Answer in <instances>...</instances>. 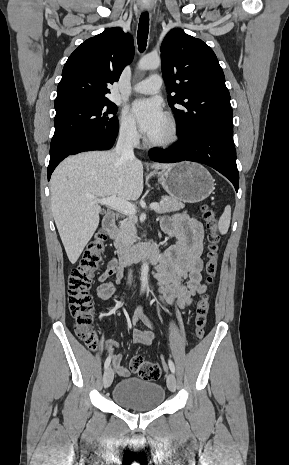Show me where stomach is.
<instances>
[{
    "instance_id": "1",
    "label": "stomach",
    "mask_w": 289,
    "mask_h": 465,
    "mask_svg": "<svg viewBox=\"0 0 289 465\" xmlns=\"http://www.w3.org/2000/svg\"><path fill=\"white\" fill-rule=\"evenodd\" d=\"M158 181L173 198L184 203H197L214 190V179L198 163L180 162L158 173Z\"/></svg>"
}]
</instances>
